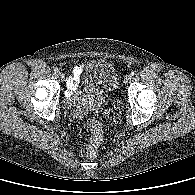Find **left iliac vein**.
Masks as SVG:
<instances>
[{
    "label": "left iliac vein",
    "mask_w": 195,
    "mask_h": 195,
    "mask_svg": "<svg viewBox=\"0 0 195 195\" xmlns=\"http://www.w3.org/2000/svg\"><path fill=\"white\" fill-rule=\"evenodd\" d=\"M131 80H132V76L131 75H126L125 78H124V83L128 84Z\"/></svg>",
    "instance_id": "obj_1"
}]
</instances>
